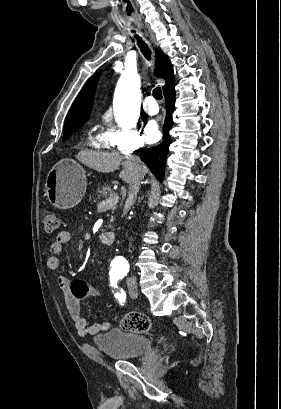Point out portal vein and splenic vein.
Segmentation results:
<instances>
[{
  "instance_id": "portal-vein-and-splenic-vein-1",
  "label": "portal vein and splenic vein",
  "mask_w": 281,
  "mask_h": 409,
  "mask_svg": "<svg viewBox=\"0 0 281 409\" xmlns=\"http://www.w3.org/2000/svg\"><path fill=\"white\" fill-rule=\"evenodd\" d=\"M117 198L115 196H108L106 200H100L98 202L97 208L101 213H104L108 207H113L117 205Z\"/></svg>"
}]
</instances>
